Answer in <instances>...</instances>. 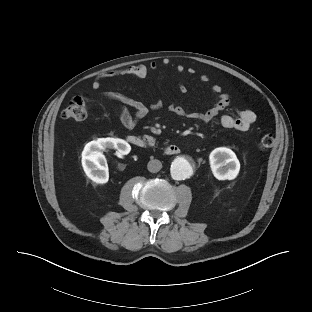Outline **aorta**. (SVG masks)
Instances as JSON below:
<instances>
[{
    "label": "aorta",
    "mask_w": 312,
    "mask_h": 312,
    "mask_svg": "<svg viewBox=\"0 0 312 312\" xmlns=\"http://www.w3.org/2000/svg\"><path fill=\"white\" fill-rule=\"evenodd\" d=\"M170 173L175 180L189 178L193 173L192 163L184 157H178L172 162Z\"/></svg>",
    "instance_id": "aorta-1"
}]
</instances>
